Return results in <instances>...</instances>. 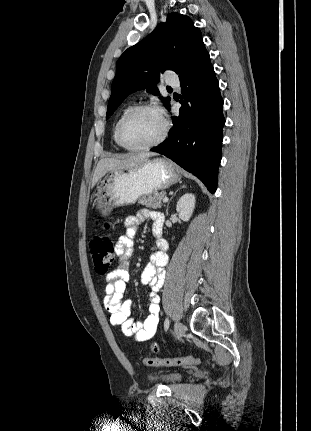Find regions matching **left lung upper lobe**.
<instances>
[{"mask_svg": "<svg viewBox=\"0 0 311 431\" xmlns=\"http://www.w3.org/2000/svg\"><path fill=\"white\" fill-rule=\"evenodd\" d=\"M205 50L202 34L188 16L168 14L165 23H160L152 33L128 48L118 59L107 117L132 92L147 88L148 92L159 95L155 84L159 82L161 73L173 70L180 78ZM160 99L166 108L170 107L169 97Z\"/></svg>", "mask_w": 311, "mask_h": 431, "instance_id": "1", "label": "left lung upper lobe"}]
</instances>
